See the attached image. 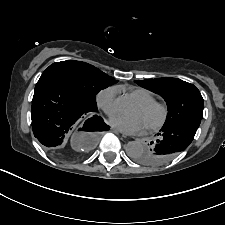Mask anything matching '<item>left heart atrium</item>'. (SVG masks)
<instances>
[{
  "mask_svg": "<svg viewBox=\"0 0 225 225\" xmlns=\"http://www.w3.org/2000/svg\"><path fill=\"white\" fill-rule=\"evenodd\" d=\"M110 122L114 127L130 134L143 133L148 127L146 121L141 116L126 117L115 115L111 118Z\"/></svg>",
  "mask_w": 225,
  "mask_h": 225,
  "instance_id": "39dd6f15",
  "label": "left heart atrium"
}]
</instances>
